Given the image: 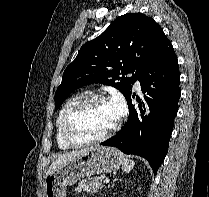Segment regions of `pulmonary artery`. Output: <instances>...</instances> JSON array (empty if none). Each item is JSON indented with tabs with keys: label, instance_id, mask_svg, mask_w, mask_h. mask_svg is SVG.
<instances>
[{
	"label": "pulmonary artery",
	"instance_id": "1",
	"mask_svg": "<svg viewBox=\"0 0 209 197\" xmlns=\"http://www.w3.org/2000/svg\"><path fill=\"white\" fill-rule=\"evenodd\" d=\"M135 88H136L137 90H140V83H139L138 80L135 82Z\"/></svg>",
	"mask_w": 209,
	"mask_h": 197
}]
</instances>
